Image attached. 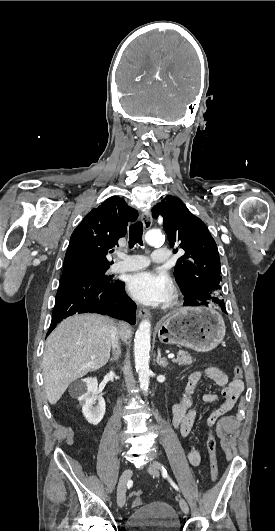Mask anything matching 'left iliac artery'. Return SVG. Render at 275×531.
I'll list each match as a JSON object with an SVG mask.
<instances>
[{
  "label": "left iliac artery",
  "instance_id": "left-iliac-artery-1",
  "mask_svg": "<svg viewBox=\"0 0 275 531\" xmlns=\"http://www.w3.org/2000/svg\"><path fill=\"white\" fill-rule=\"evenodd\" d=\"M162 476L164 478H168L169 482L171 483V485L176 489V490H179L178 486L172 481V479L168 476L167 474V470L164 466H162Z\"/></svg>",
  "mask_w": 275,
  "mask_h": 531
}]
</instances>
